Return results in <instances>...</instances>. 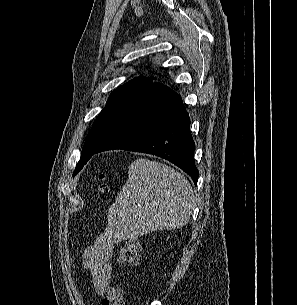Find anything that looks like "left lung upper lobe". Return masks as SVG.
Here are the masks:
<instances>
[{
  "instance_id": "obj_1",
  "label": "left lung upper lobe",
  "mask_w": 297,
  "mask_h": 305,
  "mask_svg": "<svg viewBox=\"0 0 297 305\" xmlns=\"http://www.w3.org/2000/svg\"><path fill=\"white\" fill-rule=\"evenodd\" d=\"M151 83L152 79L150 78L138 77L121 85L110 94L107 105L102 109L87 135L81 152V158L76 165L73 176L83 168L90 157L99 148L110 128L124 109Z\"/></svg>"
}]
</instances>
